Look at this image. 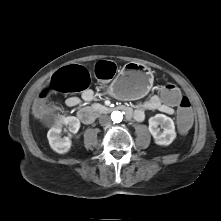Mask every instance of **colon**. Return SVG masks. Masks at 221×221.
<instances>
[{"mask_svg": "<svg viewBox=\"0 0 221 221\" xmlns=\"http://www.w3.org/2000/svg\"><path fill=\"white\" fill-rule=\"evenodd\" d=\"M116 73V66L109 61H100L95 66V75L101 80H110ZM90 74L82 66L71 65L58 70L51 78L50 83L41 91L40 98L35 101V119L40 122L48 113H59L62 108L58 104L46 105V97L53 91L70 93L83 91L90 85ZM159 99L167 107L178 106V121L175 132L177 136H188L192 126L191 104L187 97L182 96L180 88L175 84H165L159 90Z\"/></svg>", "mask_w": 221, "mask_h": 221, "instance_id": "obj_1", "label": "colon"}]
</instances>
